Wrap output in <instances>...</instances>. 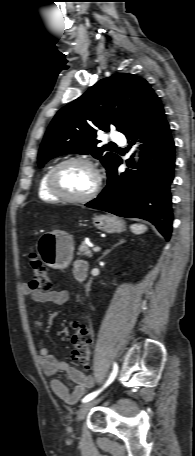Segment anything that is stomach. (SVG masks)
Listing matches in <instances>:
<instances>
[{"mask_svg": "<svg viewBox=\"0 0 195 456\" xmlns=\"http://www.w3.org/2000/svg\"><path fill=\"white\" fill-rule=\"evenodd\" d=\"M94 226L106 233H120L125 230V223L111 215H96ZM73 239L65 231L54 230L41 237L38 252L42 261L49 267L66 268L73 258Z\"/></svg>", "mask_w": 195, "mask_h": 456, "instance_id": "stomach-1", "label": "stomach"}]
</instances>
